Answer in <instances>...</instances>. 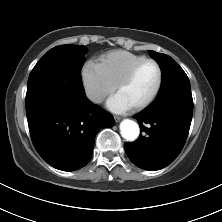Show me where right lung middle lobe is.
Instances as JSON below:
<instances>
[{
	"mask_svg": "<svg viewBox=\"0 0 222 222\" xmlns=\"http://www.w3.org/2000/svg\"><path fill=\"white\" fill-rule=\"evenodd\" d=\"M86 53L82 45H61L49 50L30 73L26 108L39 104H79L86 97L81 81Z\"/></svg>",
	"mask_w": 222,
	"mask_h": 222,
	"instance_id": "dd1d6c3e",
	"label": "right lung middle lobe"
}]
</instances>
